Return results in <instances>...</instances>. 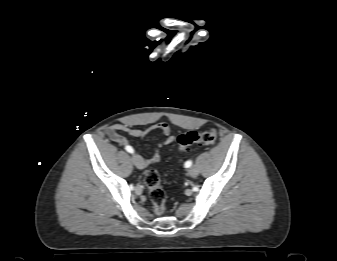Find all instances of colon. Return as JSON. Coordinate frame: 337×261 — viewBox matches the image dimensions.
Returning <instances> with one entry per match:
<instances>
[{
    "label": "colon",
    "instance_id": "obj_1",
    "mask_svg": "<svg viewBox=\"0 0 337 261\" xmlns=\"http://www.w3.org/2000/svg\"><path fill=\"white\" fill-rule=\"evenodd\" d=\"M216 138L217 132L214 128H209L203 132L190 131L178 137V149L186 151L197 144H212ZM144 183L149 190V197L155 214L162 215L165 212L166 193L160 184L158 172L154 169L147 170L144 175Z\"/></svg>",
    "mask_w": 337,
    "mask_h": 261
}]
</instances>
